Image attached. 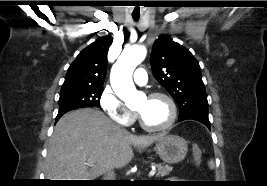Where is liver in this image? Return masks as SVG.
I'll return each mask as SVG.
<instances>
[{
  "instance_id": "6515ba94",
  "label": "liver",
  "mask_w": 267,
  "mask_h": 186,
  "mask_svg": "<svg viewBox=\"0 0 267 186\" xmlns=\"http://www.w3.org/2000/svg\"><path fill=\"white\" fill-rule=\"evenodd\" d=\"M165 134L136 136L103 112L82 108L65 114L49 140L45 173L49 180H91L126 166L134 147H148Z\"/></svg>"
}]
</instances>
